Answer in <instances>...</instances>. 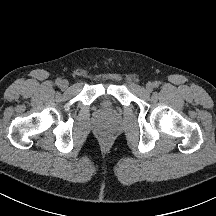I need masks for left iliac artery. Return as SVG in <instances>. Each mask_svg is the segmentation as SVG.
<instances>
[{
	"instance_id": "1",
	"label": "left iliac artery",
	"mask_w": 216,
	"mask_h": 216,
	"mask_svg": "<svg viewBox=\"0 0 216 216\" xmlns=\"http://www.w3.org/2000/svg\"><path fill=\"white\" fill-rule=\"evenodd\" d=\"M159 86V82H154V87H158Z\"/></svg>"
}]
</instances>
